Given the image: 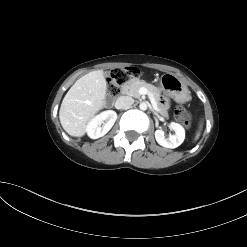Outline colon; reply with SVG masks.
Returning a JSON list of instances; mask_svg holds the SVG:
<instances>
[{"label": "colon", "mask_w": 247, "mask_h": 247, "mask_svg": "<svg viewBox=\"0 0 247 247\" xmlns=\"http://www.w3.org/2000/svg\"><path fill=\"white\" fill-rule=\"evenodd\" d=\"M139 74V70L135 67L117 68L111 73L108 80L107 95L109 99H114L120 93V86L125 84L128 80L136 77ZM176 118L184 125H190L191 117L187 110L178 106L175 111Z\"/></svg>", "instance_id": "colon-1"}]
</instances>
